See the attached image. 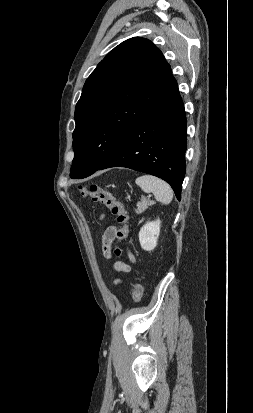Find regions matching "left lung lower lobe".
Masks as SVG:
<instances>
[{
	"instance_id": "0a47b994",
	"label": "left lung lower lobe",
	"mask_w": 253,
	"mask_h": 413,
	"mask_svg": "<svg viewBox=\"0 0 253 413\" xmlns=\"http://www.w3.org/2000/svg\"><path fill=\"white\" fill-rule=\"evenodd\" d=\"M186 125L183 101L173 78L98 170L126 167L157 176L171 185L180 200L186 172Z\"/></svg>"
}]
</instances>
